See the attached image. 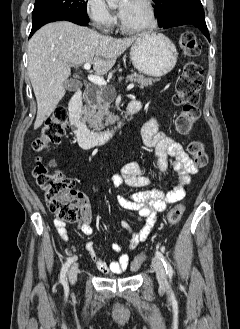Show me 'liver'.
I'll return each instance as SVG.
<instances>
[{"label":"liver","mask_w":240,"mask_h":329,"mask_svg":"<svg viewBox=\"0 0 240 329\" xmlns=\"http://www.w3.org/2000/svg\"><path fill=\"white\" fill-rule=\"evenodd\" d=\"M137 38L113 39L66 21L39 29L28 44V74L37 100L34 129L64 97L72 65L92 63L94 71L104 75Z\"/></svg>","instance_id":"6515ba94"}]
</instances>
